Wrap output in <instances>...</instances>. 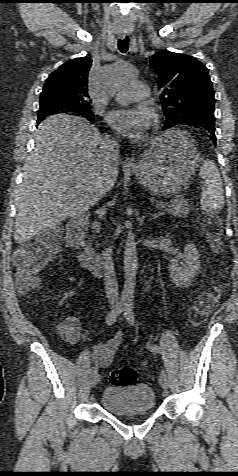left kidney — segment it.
<instances>
[{"label":"left kidney","instance_id":"1","mask_svg":"<svg viewBox=\"0 0 238 476\" xmlns=\"http://www.w3.org/2000/svg\"><path fill=\"white\" fill-rule=\"evenodd\" d=\"M199 267V253L193 244H188L184 248V253L169 264L170 276L177 286L187 288L197 275Z\"/></svg>","mask_w":238,"mask_h":476}]
</instances>
